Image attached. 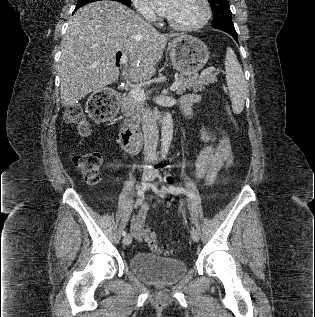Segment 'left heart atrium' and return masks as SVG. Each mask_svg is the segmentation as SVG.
I'll use <instances>...</instances> for the list:
<instances>
[{
    "mask_svg": "<svg viewBox=\"0 0 315 317\" xmlns=\"http://www.w3.org/2000/svg\"><path fill=\"white\" fill-rule=\"evenodd\" d=\"M175 0H161V1H156L157 8L160 13L164 15H168L174 5Z\"/></svg>",
    "mask_w": 315,
    "mask_h": 317,
    "instance_id": "39dd6f15",
    "label": "left heart atrium"
}]
</instances>
